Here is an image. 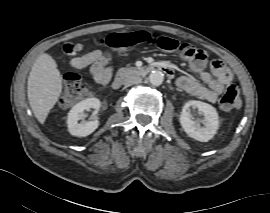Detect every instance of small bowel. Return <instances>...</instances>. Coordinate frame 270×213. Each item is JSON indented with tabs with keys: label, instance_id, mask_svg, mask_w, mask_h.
Instances as JSON below:
<instances>
[{
	"label": "small bowel",
	"instance_id": "c3829d8e",
	"mask_svg": "<svg viewBox=\"0 0 270 213\" xmlns=\"http://www.w3.org/2000/svg\"><path fill=\"white\" fill-rule=\"evenodd\" d=\"M193 49H197L192 46ZM84 49L82 43H67L63 46V52L66 55L73 56L70 65L75 69L89 67L90 75L93 80L101 85L107 86L113 77L112 69L107 65V59L98 49H93L85 54L79 55ZM189 60L190 68L196 72L201 82L190 76H183L179 79L180 88L189 96L202 97L209 101H215L223 92L224 87L232 81V75L229 72L227 77L221 78L214 71V65L221 64L219 61H213V74L206 69V62L196 60L194 57L186 56ZM170 70L174 73L172 65L168 64Z\"/></svg>",
	"mask_w": 270,
	"mask_h": 213
}]
</instances>
